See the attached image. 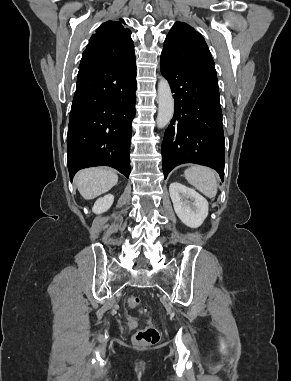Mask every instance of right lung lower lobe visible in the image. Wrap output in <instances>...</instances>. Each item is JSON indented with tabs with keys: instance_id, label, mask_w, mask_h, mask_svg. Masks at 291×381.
Returning a JSON list of instances; mask_svg holds the SVG:
<instances>
[{
	"instance_id": "right-lung-lower-lobe-1",
	"label": "right lung lower lobe",
	"mask_w": 291,
	"mask_h": 381,
	"mask_svg": "<svg viewBox=\"0 0 291 381\" xmlns=\"http://www.w3.org/2000/svg\"><path fill=\"white\" fill-rule=\"evenodd\" d=\"M136 84L135 53L79 65L67 135L71 179L80 169L101 165L129 177Z\"/></svg>"
}]
</instances>
